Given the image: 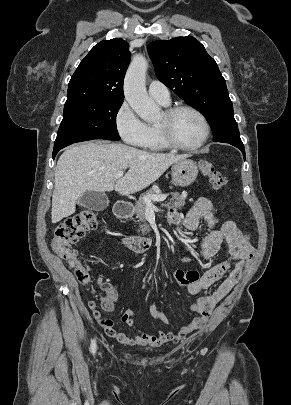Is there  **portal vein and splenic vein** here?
Segmentation results:
<instances>
[{"mask_svg":"<svg viewBox=\"0 0 291 405\" xmlns=\"http://www.w3.org/2000/svg\"><path fill=\"white\" fill-rule=\"evenodd\" d=\"M123 174H124L123 171L117 172V173L115 174V179H120V178H122V177H123ZM166 198H167V195H165V194H161V195H158V194H156V195H150V196H146V197L144 198V202H145L146 206H150V207H151V206H153L152 201L160 202V201H164Z\"/></svg>","mask_w":291,"mask_h":405,"instance_id":"portal-vein-and-splenic-vein-1","label":"portal vein and splenic vein"}]
</instances>
